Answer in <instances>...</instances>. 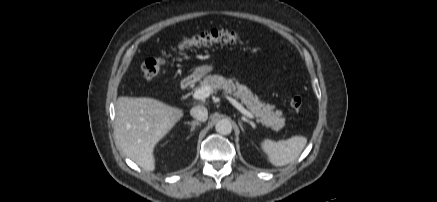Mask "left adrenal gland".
<instances>
[{
  "label": "left adrenal gland",
  "instance_id": "obj_1",
  "mask_svg": "<svg viewBox=\"0 0 437 202\" xmlns=\"http://www.w3.org/2000/svg\"><path fill=\"white\" fill-rule=\"evenodd\" d=\"M239 124H240V127H241L242 131L244 132V129H243L242 124H241V121H239Z\"/></svg>",
  "mask_w": 437,
  "mask_h": 202
}]
</instances>
